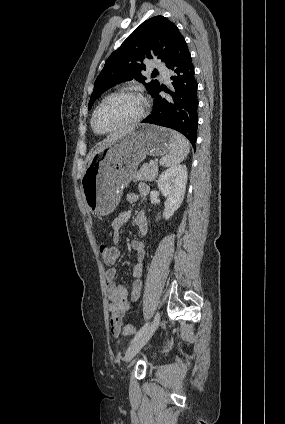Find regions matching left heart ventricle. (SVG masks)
<instances>
[{"instance_id":"obj_1","label":"left heart ventricle","mask_w":285,"mask_h":424,"mask_svg":"<svg viewBox=\"0 0 285 424\" xmlns=\"http://www.w3.org/2000/svg\"><path fill=\"white\" fill-rule=\"evenodd\" d=\"M142 102L136 96L122 95L108 100L97 112L95 126L99 131L118 127L136 117Z\"/></svg>"}]
</instances>
